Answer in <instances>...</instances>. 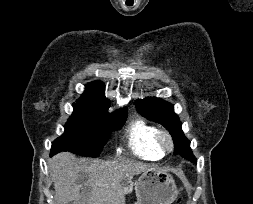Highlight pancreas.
Returning <instances> with one entry per match:
<instances>
[{
	"mask_svg": "<svg viewBox=\"0 0 253 204\" xmlns=\"http://www.w3.org/2000/svg\"><path fill=\"white\" fill-rule=\"evenodd\" d=\"M132 189H133V186L132 185H129L127 187L124 188V192L125 193H131L132 192Z\"/></svg>",
	"mask_w": 253,
	"mask_h": 204,
	"instance_id": "obj_1",
	"label": "pancreas"
}]
</instances>
